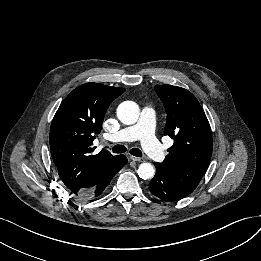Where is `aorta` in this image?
<instances>
[{"label":"aorta","mask_w":261,"mask_h":261,"mask_svg":"<svg viewBox=\"0 0 261 261\" xmlns=\"http://www.w3.org/2000/svg\"><path fill=\"white\" fill-rule=\"evenodd\" d=\"M139 113V106L133 101H124L117 108L118 119L126 125L136 123ZM138 175L144 180L151 179L155 175V168L151 163H142L138 168Z\"/></svg>","instance_id":"762f6f07"}]
</instances>
